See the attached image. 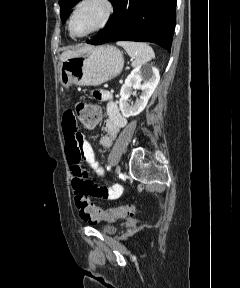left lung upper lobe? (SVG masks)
<instances>
[{"instance_id": "5c2ea615", "label": "left lung upper lobe", "mask_w": 240, "mask_h": 288, "mask_svg": "<svg viewBox=\"0 0 240 288\" xmlns=\"http://www.w3.org/2000/svg\"><path fill=\"white\" fill-rule=\"evenodd\" d=\"M79 1L80 0H60L59 1V5L61 7L60 15H61L62 20H65L68 18L71 8ZM110 1L113 2V0H110Z\"/></svg>"}]
</instances>
